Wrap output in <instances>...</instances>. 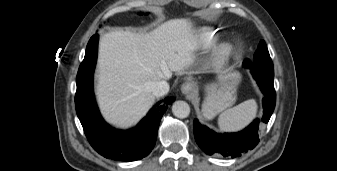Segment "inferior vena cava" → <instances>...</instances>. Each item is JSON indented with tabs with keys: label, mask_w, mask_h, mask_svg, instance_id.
<instances>
[{
	"label": "inferior vena cava",
	"mask_w": 337,
	"mask_h": 171,
	"mask_svg": "<svg viewBox=\"0 0 337 171\" xmlns=\"http://www.w3.org/2000/svg\"><path fill=\"white\" fill-rule=\"evenodd\" d=\"M151 92L154 96L160 97L169 92V84L165 80L150 83Z\"/></svg>",
	"instance_id": "inferior-vena-cava-1"
}]
</instances>
